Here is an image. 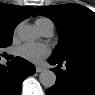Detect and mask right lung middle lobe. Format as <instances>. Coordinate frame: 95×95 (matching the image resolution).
<instances>
[{
	"instance_id": "dd1d6c3e",
	"label": "right lung middle lobe",
	"mask_w": 95,
	"mask_h": 95,
	"mask_svg": "<svg viewBox=\"0 0 95 95\" xmlns=\"http://www.w3.org/2000/svg\"><path fill=\"white\" fill-rule=\"evenodd\" d=\"M13 34H0V48L11 45Z\"/></svg>"
}]
</instances>
